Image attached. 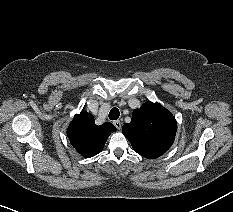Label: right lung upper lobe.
Listing matches in <instances>:
<instances>
[{"instance_id": "1", "label": "right lung upper lobe", "mask_w": 233, "mask_h": 212, "mask_svg": "<svg viewBox=\"0 0 233 212\" xmlns=\"http://www.w3.org/2000/svg\"><path fill=\"white\" fill-rule=\"evenodd\" d=\"M115 130L109 122L101 126L95 125L93 116L82 111L75 115L67 129V135L74 148L82 156L89 158L101 152L107 138Z\"/></svg>"}]
</instances>
